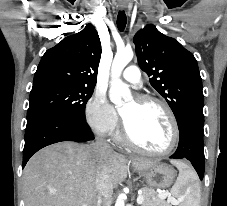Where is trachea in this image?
Masks as SVG:
<instances>
[{"label":"trachea","instance_id":"obj_1","mask_svg":"<svg viewBox=\"0 0 227 206\" xmlns=\"http://www.w3.org/2000/svg\"><path fill=\"white\" fill-rule=\"evenodd\" d=\"M127 18L125 12L119 11L118 16H117V27L119 31H124L125 26H126Z\"/></svg>","mask_w":227,"mask_h":206}]
</instances>
